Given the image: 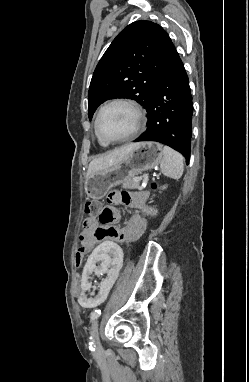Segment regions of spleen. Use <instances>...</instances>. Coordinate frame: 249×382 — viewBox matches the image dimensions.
Masks as SVG:
<instances>
[{
	"mask_svg": "<svg viewBox=\"0 0 249 382\" xmlns=\"http://www.w3.org/2000/svg\"><path fill=\"white\" fill-rule=\"evenodd\" d=\"M163 159L160 162L161 172L172 179H180L184 171V158L168 146L163 147Z\"/></svg>",
	"mask_w": 249,
	"mask_h": 382,
	"instance_id": "obj_1",
	"label": "spleen"
}]
</instances>
